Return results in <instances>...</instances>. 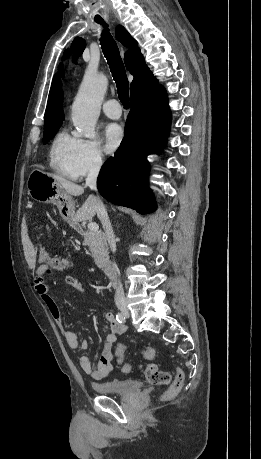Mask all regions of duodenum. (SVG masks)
I'll list each match as a JSON object with an SVG mask.
<instances>
[{
	"mask_svg": "<svg viewBox=\"0 0 261 459\" xmlns=\"http://www.w3.org/2000/svg\"><path fill=\"white\" fill-rule=\"evenodd\" d=\"M103 267L108 278L110 280H115L117 277V268L115 265L110 260H107L104 262Z\"/></svg>",
	"mask_w": 261,
	"mask_h": 459,
	"instance_id": "1",
	"label": "duodenum"
}]
</instances>
